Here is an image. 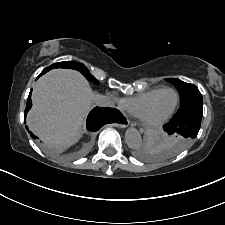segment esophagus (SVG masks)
<instances>
[{
	"mask_svg": "<svg viewBox=\"0 0 225 225\" xmlns=\"http://www.w3.org/2000/svg\"><path fill=\"white\" fill-rule=\"evenodd\" d=\"M129 124H130V121H129L128 117L125 114H123L122 115V121H121V123L117 124V126H119L121 128H125Z\"/></svg>",
	"mask_w": 225,
	"mask_h": 225,
	"instance_id": "esophagus-1",
	"label": "esophagus"
}]
</instances>
